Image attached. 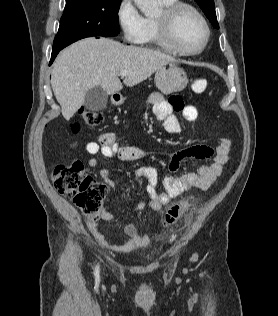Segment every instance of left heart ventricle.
Masks as SVG:
<instances>
[{
	"instance_id": "left-heart-ventricle-1",
	"label": "left heart ventricle",
	"mask_w": 278,
	"mask_h": 316,
	"mask_svg": "<svg viewBox=\"0 0 278 316\" xmlns=\"http://www.w3.org/2000/svg\"><path fill=\"white\" fill-rule=\"evenodd\" d=\"M176 33L180 43L187 49L201 47L205 39V29L197 16L189 10L182 11L176 21Z\"/></svg>"
}]
</instances>
